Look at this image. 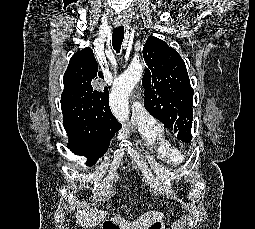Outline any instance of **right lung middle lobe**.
<instances>
[{
	"instance_id": "right-lung-middle-lobe-1",
	"label": "right lung middle lobe",
	"mask_w": 255,
	"mask_h": 229,
	"mask_svg": "<svg viewBox=\"0 0 255 229\" xmlns=\"http://www.w3.org/2000/svg\"><path fill=\"white\" fill-rule=\"evenodd\" d=\"M111 138L73 137L69 136L67 147L77 155L87 157V166H92L107 151Z\"/></svg>"
}]
</instances>
